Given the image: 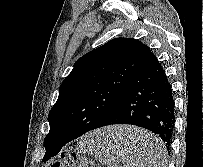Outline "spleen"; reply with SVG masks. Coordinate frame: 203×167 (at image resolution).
I'll return each mask as SVG.
<instances>
[{
  "instance_id": "obj_1",
  "label": "spleen",
  "mask_w": 203,
  "mask_h": 167,
  "mask_svg": "<svg viewBox=\"0 0 203 167\" xmlns=\"http://www.w3.org/2000/svg\"><path fill=\"white\" fill-rule=\"evenodd\" d=\"M110 143L109 134L96 131L80 141L79 149L95 156L107 167H166L167 153L162 141L157 137L153 136V139L148 140L143 149V157L137 160H127L126 154Z\"/></svg>"
}]
</instances>
